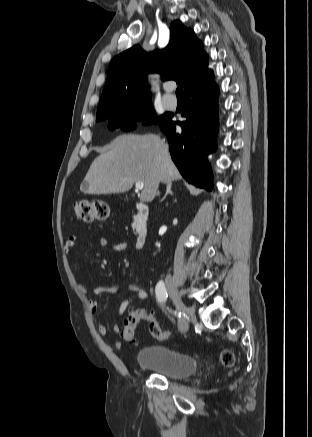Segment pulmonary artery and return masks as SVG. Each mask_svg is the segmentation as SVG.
I'll list each match as a JSON object with an SVG mask.
<instances>
[{
    "label": "pulmonary artery",
    "mask_w": 312,
    "mask_h": 437,
    "mask_svg": "<svg viewBox=\"0 0 312 437\" xmlns=\"http://www.w3.org/2000/svg\"><path fill=\"white\" fill-rule=\"evenodd\" d=\"M170 87L169 85L165 86L163 93V103L167 109L173 110L177 106L176 98L170 95Z\"/></svg>",
    "instance_id": "1"
}]
</instances>
